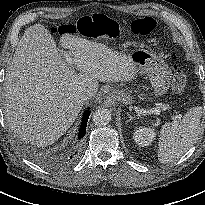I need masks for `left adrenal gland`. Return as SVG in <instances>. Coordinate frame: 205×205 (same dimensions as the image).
<instances>
[{"label":"left adrenal gland","instance_id":"obj_1","mask_svg":"<svg viewBox=\"0 0 205 205\" xmlns=\"http://www.w3.org/2000/svg\"><path fill=\"white\" fill-rule=\"evenodd\" d=\"M128 117H129V120L128 121H132L134 118H136L135 116L133 117L132 115H130L129 113L127 114Z\"/></svg>","mask_w":205,"mask_h":205}]
</instances>
